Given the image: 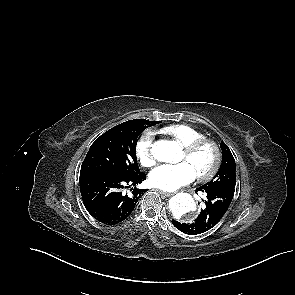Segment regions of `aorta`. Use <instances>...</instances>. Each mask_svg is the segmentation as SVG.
Listing matches in <instances>:
<instances>
[{"instance_id":"aorta-1","label":"aorta","mask_w":295,"mask_h":295,"mask_svg":"<svg viewBox=\"0 0 295 295\" xmlns=\"http://www.w3.org/2000/svg\"><path fill=\"white\" fill-rule=\"evenodd\" d=\"M181 147L174 140H160L154 144L152 154L160 162H176L179 159ZM169 209L177 220L191 219L196 203L188 193H178L169 200Z\"/></svg>"}]
</instances>
